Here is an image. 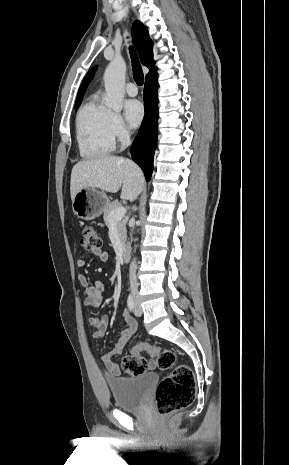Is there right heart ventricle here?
<instances>
[{"label":"right heart ventricle","instance_id":"obj_1","mask_svg":"<svg viewBox=\"0 0 289 465\" xmlns=\"http://www.w3.org/2000/svg\"><path fill=\"white\" fill-rule=\"evenodd\" d=\"M111 114L101 104L98 94L91 95L78 110L75 133L83 158L98 159L113 152L115 139L110 129Z\"/></svg>","mask_w":289,"mask_h":465}]
</instances>
